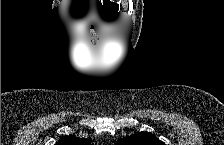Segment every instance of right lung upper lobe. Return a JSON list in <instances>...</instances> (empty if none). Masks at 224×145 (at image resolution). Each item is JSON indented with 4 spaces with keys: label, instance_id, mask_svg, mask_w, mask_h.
I'll return each instance as SVG.
<instances>
[{
    "label": "right lung upper lobe",
    "instance_id": "right-lung-upper-lobe-1",
    "mask_svg": "<svg viewBox=\"0 0 224 145\" xmlns=\"http://www.w3.org/2000/svg\"><path fill=\"white\" fill-rule=\"evenodd\" d=\"M88 139H80L75 136H63L56 145H89Z\"/></svg>",
    "mask_w": 224,
    "mask_h": 145
}]
</instances>
